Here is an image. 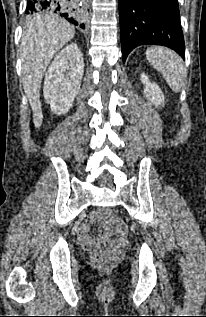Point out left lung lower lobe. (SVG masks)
Returning <instances> with one entry per match:
<instances>
[{"instance_id": "obj_1", "label": "left lung lower lobe", "mask_w": 206, "mask_h": 317, "mask_svg": "<svg viewBox=\"0 0 206 317\" xmlns=\"http://www.w3.org/2000/svg\"><path fill=\"white\" fill-rule=\"evenodd\" d=\"M122 59L137 46H167L185 59L178 0H119Z\"/></svg>"}]
</instances>
